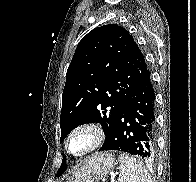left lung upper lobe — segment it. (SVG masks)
Listing matches in <instances>:
<instances>
[{
	"instance_id": "obj_1",
	"label": "left lung upper lobe",
	"mask_w": 196,
	"mask_h": 182,
	"mask_svg": "<svg viewBox=\"0 0 196 182\" xmlns=\"http://www.w3.org/2000/svg\"><path fill=\"white\" fill-rule=\"evenodd\" d=\"M148 68L133 37L117 24L97 27L78 44L62 95L61 139L77 126L99 122L109 137L126 98ZM64 157L57 176L66 170Z\"/></svg>"
}]
</instances>
